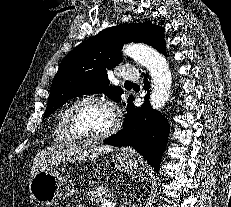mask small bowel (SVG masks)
<instances>
[{"label": "small bowel", "mask_w": 231, "mask_h": 207, "mask_svg": "<svg viewBox=\"0 0 231 207\" xmlns=\"http://www.w3.org/2000/svg\"><path fill=\"white\" fill-rule=\"evenodd\" d=\"M76 207H82V206H80V205H77Z\"/></svg>", "instance_id": "1"}]
</instances>
